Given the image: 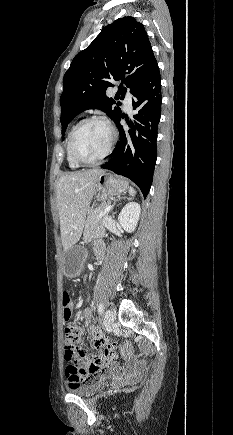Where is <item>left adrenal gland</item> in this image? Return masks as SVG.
<instances>
[{
    "label": "left adrenal gland",
    "instance_id": "obj_1",
    "mask_svg": "<svg viewBox=\"0 0 233 435\" xmlns=\"http://www.w3.org/2000/svg\"><path fill=\"white\" fill-rule=\"evenodd\" d=\"M119 200H121V199H119ZM114 205H115V202H114L113 205H112V209H113Z\"/></svg>",
    "mask_w": 233,
    "mask_h": 435
}]
</instances>
